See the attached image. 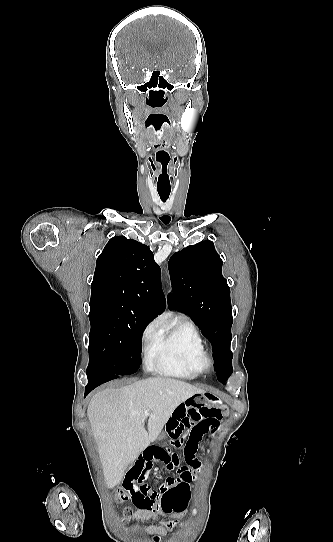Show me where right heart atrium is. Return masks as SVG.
<instances>
[{
  "mask_svg": "<svg viewBox=\"0 0 333 542\" xmlns=\"http://www.w3.org/2000/svg\"><path fill=\"white\" fill-rule=\"evenodd\" d=\"M157 335L158 333L154 325H149L144 331L143 338L146 343H150L156 339Z\"/></svg>",
  "mask_w": 333,
  "mask_h": 542,
  "instance_id": "right-heart-atrium-1",
  "label": "right heart atrium"
}]
</instances>
